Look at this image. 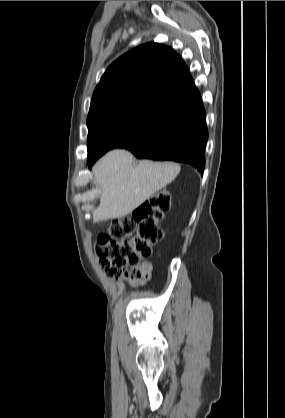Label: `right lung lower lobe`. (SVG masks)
I'll return each mask as SVG.
<instances>
[{
    "label": "right lung lower lobe",
    "mask_w": 285,
    "mask_h": 418,
    "mask_svg": "<svg viewBox=\"0 0 285 418\" xmlns=\"http://www.w3.org/2000/svg\"><path fill=\"white\" fill-rule=\"evenodd\" d=\"M207 139L206 112L198 94L171 108L160 121L120 148L140 159L187 163L202 172ZM97 159L88 160L89 167Z\"/></svg>",
    "instance_id": "98d812e1"
}]
</instances>
